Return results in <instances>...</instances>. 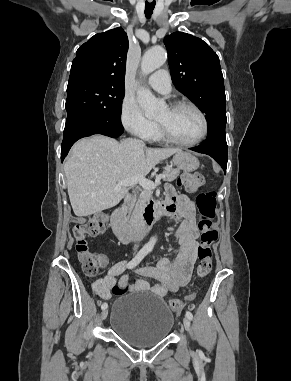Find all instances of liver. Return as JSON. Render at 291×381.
<instances>
[{"mask_svg": "<svg viewBox=\"0 0 291 381\" xmlns=\"http://www.w3.org/2000/svg\"><path fill=\"white\" fill-rule=\"evenodd\" d=\"M180 149L146 148L135 139L118 142L103 135L81 139L64 164L67 189L76 216H90L116 206L128 193L115 190L122 180L145 177L160 161Z\"/></svg>", "mask_w": 291, "mask_h": 381, "instance_id": "6515ba94", "label": "liver"}]
</instances>
